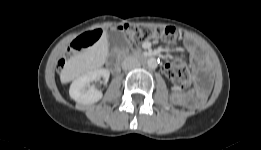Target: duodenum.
I'll use <instances>...</instances> for the list:
<instances>
[{
  "mask_svg": "<svg viewBox=\"0 0 261 150\" xmlns=\"http://www.w3.org/2000/svg\"><path fill=\"white\" fill-rule=\"evenodd\" d=\"M146 56L148 57H152L153 55L152 54H147ZM119 58L118 57H112L110 60H109V66L110 68L113 70V71H116L118 68H119Z\"/></svg>",
  "mask_w": 261,
  "mask_h": 150,
  "instance_id": "410a0bca",
  "label": "duodenum"
}]
</instances>
